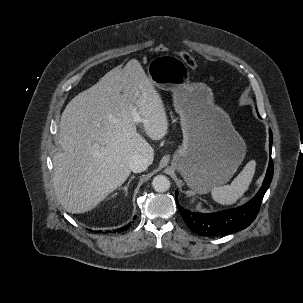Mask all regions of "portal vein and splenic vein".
<instances>
[{
	"label": "portal vein and splenic vein",
	"mask_w": 303,
	"mask_h": 303,
	"mask_svg": "<svg viewBox=\"0 0 303 303\" xmlns=\"http://www.w3.org/2000/svg\"><path fill=\"white\" fill-rule=\"evenodd\" d=\"M132 115H133V121L135 123H139V122L142 121L141 117L138 115V113H137V111L135 109H133Z\"/></svg>",
	"instance_id": "portal-vein-and-splenic-vein-1"
}]
</instances>
